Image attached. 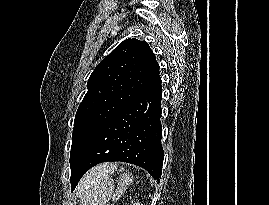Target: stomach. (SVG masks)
<instances>
[{
    "label": "stomach",
    "instance_id": "0dacf381",
    "mask_svg": "<svg viewBox=\"0 0 269 205\" xmlns=\"http://www.w3.org/2000/svg\"><path fill=\"white\" fill-rule=\"evenodd\" d=\"M114 195V180L105 177L84 192L79 205H106V202Z\"/></svg>",
    "mask_w": 269,
    "mask_h": 205
}]
</instances>
